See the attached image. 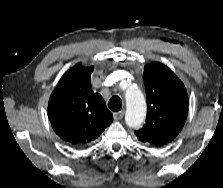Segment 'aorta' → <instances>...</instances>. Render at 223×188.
<instances>
[{
    "mask_svg": "<svg viewBox=\"0 0 223 188\" xmlns=\"http://www.w3.org/2000/svg\"><path fill=\"white\" fill-rule=\"evenodd\" d=\"M125 122L129 127H140L146 117V102L144 95L137 88H129L125 94Z\"/></svg>",
    "mask_w": 223,
    "mask_h": 188,
    "instance_id": "1",
    "label": "aorta"
}]
</instances>
